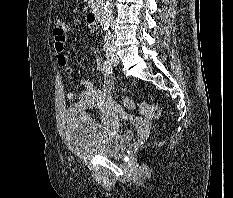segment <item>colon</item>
<instances>
[{
	"label": "colon",
	"mask_w": 233,
	"mask_h": 198,
	"mask_svg": "<svg viewBox=\"0 0 233 198\" xmlns=\"http://www.w3.org/2000/svg\"><path fill=\"white\" fill-rule=\"evenodd\" d=\"M67 31V26L65 22L61 19H57L55 22L54 36L63 37ZM125 107L129 109H138L139 112L145 117L156 119L161 115V109L155 104H145L143 102L136 101L131 97H125L123 99Z\"/></svg>",
	"instance_id": "5ec220e1"
}]
</instances>
